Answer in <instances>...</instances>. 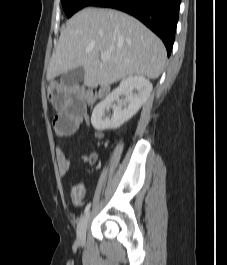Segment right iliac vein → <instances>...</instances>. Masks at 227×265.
Wrapping results in <instances>:
<instances>
[{"instance_id": "1", "label": "right iliac vein", "mask_w": 227, "mask_h": 265, "mask_svg": "<svg viewBox=\"0 0 227 265\" xmlns=\"http://www.w3.org/2000/svg\"><path fill=\"white\" fill-rule=\"evenodd\" d=\"M89 218H90V213H87L84 217H82L77 227V240L81 245L85 243Z\"/></svg>"}]
</instances>
